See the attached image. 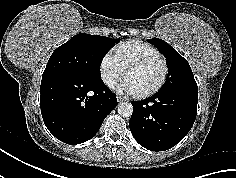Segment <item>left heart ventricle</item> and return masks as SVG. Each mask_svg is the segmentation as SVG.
<instances>
[{"mask_svg": "<svg viewBox=\"0 0 236 178\" xmlns=\"http://www.w3.org/2000/svg\"><path fill=\"white\" fill-rule=\"evenodd\" d=\"M163 74V64L160 61H154L148 65L130 70L125 79H127L137 93L145 92L153 88L161 79Z\"/></svg>", "mask_w": 236, "mask_h": 178, "instance_id": "b2bd125f", "label": "left heart ventricle"}]
</instances>
